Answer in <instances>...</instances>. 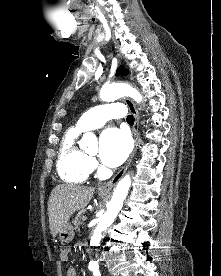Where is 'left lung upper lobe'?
<instances>
[{
	"instance_id": "obj_1",
	"label": "left lung upper lobe",
	"mask_w": 221,
	"mask_h": 276,
	"mask_svg": "<svg viewBox=\"0 0 221 276\" xmlns=\"http://www.w3.org/2000/svg\"><path fill=\"white\" fill-rule=\"evenodd\" d=\"M127 74H128V71L123 66L119 67L116 71V76L117 75H127Z\"/></svg>"
}]
</instances>
